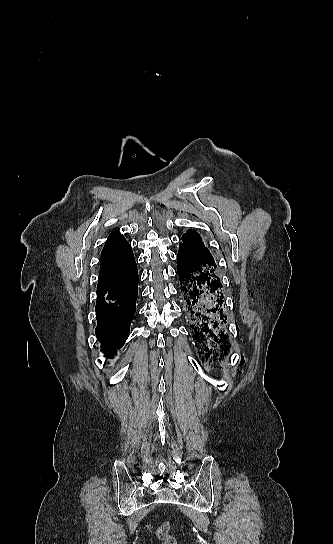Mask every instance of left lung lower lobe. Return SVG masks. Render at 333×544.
<instances>
[{
    "mask_svg": "<svg viewBox=\"0 0 333 544\" xmlns=\"http://www.w3.org/2000/svg\"><path fill=\"white\" fill-rule=\"evenodd\" d=\"M178 274L184 311L191 322L195 345L203 359L229 351L223 287L216 265L195 251L179 247Z\"/></svg>",
    "mask_w": 333,
    "mask_h": 544,
    "instance_id": "left-lung-lower-lobe-1",
    "label": "left lung lower lobe"
}]
</instances>
